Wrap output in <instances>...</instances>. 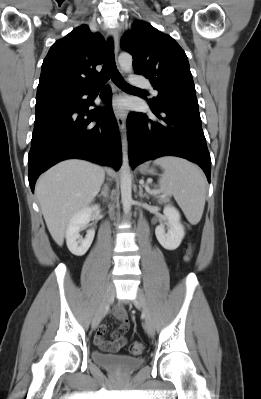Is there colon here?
<instances>
[{"mask_svg":"<svg viewBox=\"0 0 261 399\" xmlns=\"http://www.w3.org/2000/svg\"><path fill=\"white\" fill-rule=\"evenodd\" d=\"M192 252H193V248L191 246V247H189V249L187 251V254L185 257L186 261H189L191 259ZM143 351H144V344L142 342L135 341V342L131 343V345L129 346V352L134 356L142 354Z\"/></svg>","mask_w":261,"mask_h":399,"instance_id":"obj_1","label":"colon"}]
</instances>
